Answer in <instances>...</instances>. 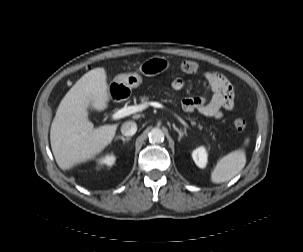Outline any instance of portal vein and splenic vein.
Instances as JSON below:
<instances>
[{"instance_id":"1","label":"portal vein and splenic vein","mask_w":303,"mask_h":252,"mask_svg":"<svg viewBox=\"0 0 303 252\" xmlns=\"http://www.w3.org/2000/svg\"><path fill=\"white\" fill-rule=\"evenodd\" d=\"M148 106H153L155 108H165L164 105H162L159 102H145L143 104L140 105H135V106H129V107H124L120 110H118L117 112L113 113L111 115V120H118L121 119L123 117L129 116L131 114H134L136 112L142 111L144 109H146ZM174 116L178 119V121H180L185 127H189L188 124L177 114H174Z\"/></svg>"}]
</instances>
